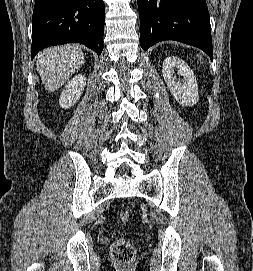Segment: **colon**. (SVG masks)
Masks as SVG:
<instances>
[{
    "instance_id": "colon-1",
    "label": "colon",
    "mask_w": 253,
    "mask_h": 271,
    "mask_svg": "<svg viewBox=\"0 0 253 271\" xmlns=\"http://www.w3.org/2000/svg\"><path fill=\"white\" fill-rule=\"evenodd\" d=\"M130 212L127 210L119 213V220L122 223H127L130 220ZM112 255L115 260L121 263H129L133 260L135 250L133 245L124 237H118L112 246Z\"/></svg>"
}]
</instances>
